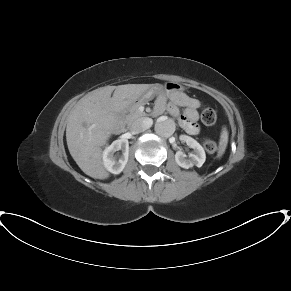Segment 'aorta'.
<instances>
[{"label":"aorta","instance_id":"aorta-1","mask_svg":"<svg viewBox=\"0 0 291 291\" xmlns=\"http://www.w3.org/2000/svg\"><path fill=\"white\" fill-rule=\"evenodd\" d=\"M175 122L167 117H160L155 124V132L161 137H170L175 132Z\"/></svg>","mask_w":291,"mask_h":291}]
</instances>
